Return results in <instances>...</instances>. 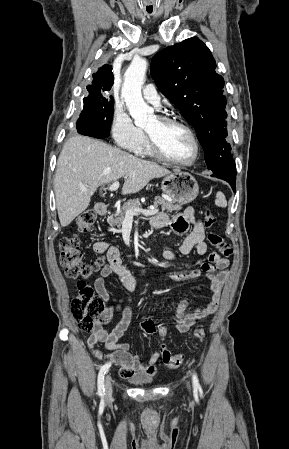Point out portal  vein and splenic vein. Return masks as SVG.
<instances>
[{
	"mask_svg": "<svg viewBox=\"0 0 289 449\" xmlns=\"http://www.w3.org/2000/svg\"><path fill=\"white\" fill-rule=\"evenodd\" d=\"M119 188V182L115 181L112 185H110L109 190L110 191H116ZM82 191H87L86 187H81ZM158 212V209L154 207H150L149 209H134V210H127L126 211V218H133L135 215L143 214L145 216L154 215Z\"/></svg>",
	"mask_w": 289,
	"mask_h": 449,
	"instance_id": "1",
	"label": "portal vein and splenic vein"
}]
</instances>
